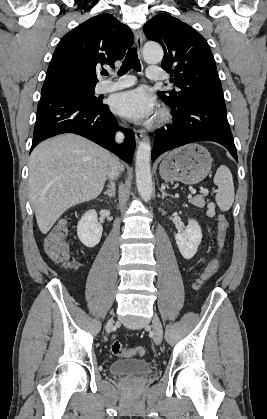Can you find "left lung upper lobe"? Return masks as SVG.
I'll return each instance as SVG.
<instances>
[{
	"mask_svg": "<svg viewBox=\"0 0 267 419\" xmlns=\"http://www.w3.org/2000/svg\"><path fill=\"white\" fill-rule=\"evenodd\" d=\"M149 40L164 49L161 67L174 75L177 91H160L159 97L177 111L199 101H223V90L214 57L203 36L168 14H158L143 26Z\"/></svg>",
	"mask_w": 267,
	"mask_h": 419,
	"instance_id": "obj_1",
	"label": "left lung upper lobe"
}]
</instances>
